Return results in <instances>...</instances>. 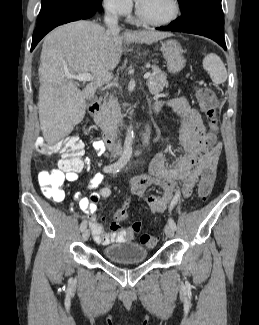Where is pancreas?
I'll use <instances>...</instances> for the list:
<instances>
[{
	"mask_svg": "<svg viewBox=\"0 0 259 325\" xmlns=\"http://www.w3.org/2000/svg\"><path fill=\"white\" fill-rule=\"evenodd\" d=\"M152 70L154 73L147 81V85L150 93L157 95L163 91L164 87H168V81L165 73L158 66H152ZM122 117L118 100L111 95L102 104L100 113L95 118V122L105 133L116 134Z\"/></svg>",
	"mask_w": 259,
	"mask_h": 325,
	"instance_id": "pancreas-1",
	"label": "pancreas"
}]
</instances>
